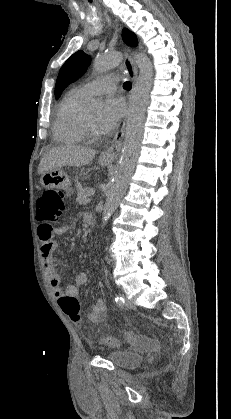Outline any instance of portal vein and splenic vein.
Returning a JSON list of instances; mask_svg holds the SVG:
<instances>
[{"mask_svg":"<svg viewBox=\"0 0 231 419\" xmlns=\"http://www.w3.org/2000/svg\"><path fill=\"white\" fill-rule=\"evenodd\" d=\"M94 193H95V190H94V189H90V190L88 191L87 195H88V196H92V195H94Z\"/></svg>","mask_w":231,"mask_h":419,"instance_id":"18ae733b","label":"portal vein and splenic vein"}]
</instances>
